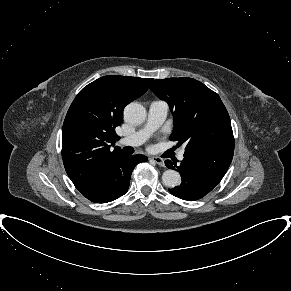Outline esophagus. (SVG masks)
Instances as JSON below:
<instances>
[{
  "label": "esophagus",
  "instance_id": "1",
  "mask_svg": "<svg viewBox=\"0 0 291 291\" xmlns=\"http://www.w3.org/2000/svg\"><path fill=\"white\" fill-rule=\"evenodd\" d=\"M152 160L159 166H164V160L160 157H153Z\"/></svg>",
  "mask_w": 291,
  "mask_h": 291
}]
</instances>
